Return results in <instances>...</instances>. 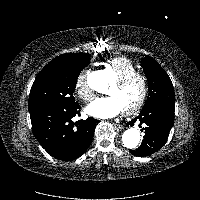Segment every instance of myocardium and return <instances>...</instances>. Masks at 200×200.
<instances>
[{"label":"myocardium","instance_id":"f54148a6","mask_svg":"<svg viewBox=\"0 0 200 200\" xmlns=\"http://www.w3.org/2000/svg\"><path fill=\"white\" fill-rule=\"evenodd\" d=\"M133 80H139L141 82L142 91H141V95H140V98L138 99V101L133 106H131L127 109H124V113L126 115H132V114L138 112L144 106V104L147 100V97H148V93H149L148 79L145 76V74H143L139 71H134V72L128 73L120 78H117L115 83L117 86L123 87Z\"/></svg>","mask_w":200,"mask_h":200}]
</instances>
